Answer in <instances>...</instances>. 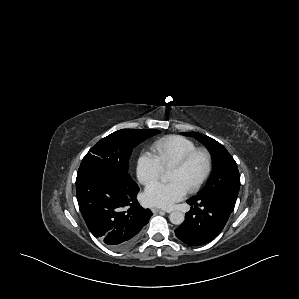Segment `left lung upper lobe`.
Instances as JSON below:
<instances>
[{"instance_id": "1", "label": "left lung upper lobe", "mask_w": 299, "mask_h": 299, "mask_svg": "<svg viewBox=\"0 0 299 299\" xmlns=\"http://www.w3.org/2000/svg\"><path fill=\"white\" fill-rule=\"evenodd\" d=\"M202 142L213 156V173L203 190L194 198L220 197L235 205L240 187L237 164L226 148L216 140L197 133H182Z\"/></svg>"}]
</instances>
